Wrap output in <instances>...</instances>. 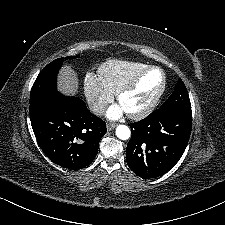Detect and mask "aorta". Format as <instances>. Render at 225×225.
Returning a JSON list of instances; mask_svg holds the SVG:
<instances>
[{
  "instance_id": "obj_1",
  "label": "aorta",
  "mask_w": 225,
  "mask_h": 225,
  "mask_svg": "<svg viewBox=\"0 0 225 225\" xmlns=\"http://www.w3.org/2000/svg\"><path fill=\"white\" fill-rule=\"evenodd\" d=\"M116 136L121 140H127L131 136V131L126 125H118L116 127Z\"/></svg>"
}]
</instances>
